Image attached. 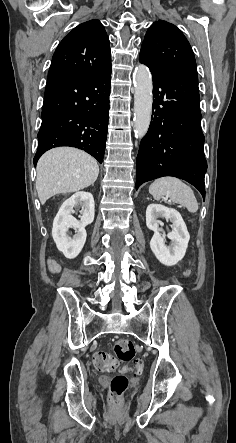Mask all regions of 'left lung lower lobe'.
Segmentation results:
<instances>
[{"mask_svg":"<svg viewBox=\"0 0 236 443\" xmlns=\"http://www.w3.org/2000/svg\"><path fill=\"white\" fill-rule=\"evenodd\" d=\"M149 69L155 99L152 122L137 156L136 189L146 181L174 176L194 185L205 199L207 162L197 71L176 67Z\"/></svg>","mask_w":236,"mask_h":443,"instance_id":"0a47b994","label":"left lung lower lobe"}]
</instances>
